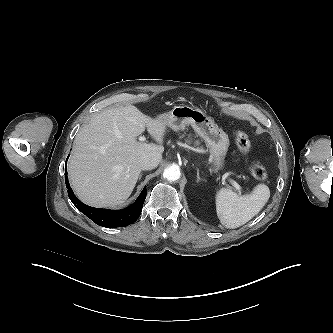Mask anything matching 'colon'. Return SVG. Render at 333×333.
<instances>
[{"label":"colon","instance_id":"1","mask_svg":"<svg viewBox=\"0 0 333 333\" xmlns=\"http://www.w3.org/2000/svg\"><path fill=\"white\" fill-rule=\"evenodd\" d=\"M236 144H237L239 150L244 155H247L251 150V143H250L249 137L242 130H238L236 132ZM250 173L257 180H264L267 177V171H266L265 167L258 163L253 164L250 167Z\"/></svg>","mask_w":333,"mask_h":333}]
</instances>
